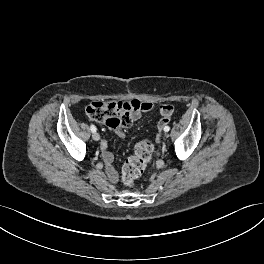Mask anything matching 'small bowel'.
I'll return each mask as SVG.
<instances>
[{"label": "small bowel", "mask_w": 264, "mask_h": 264, "mask_svg": "<svg viewBox=\"0 0 264 264\" xmlns=\"http://www.w3.org/2000/svg\"><path fill=\"white\" fill-rule=\"evenodd\" d=\"M124 105L130 108L132 121L138 120L142 113L153 110L156 106L151 102H141L139 100H131L128 102H124ZM161 119H166L168 124L173 114V106L169 104L159 105L157 106ZM116 133L118 135H122V131L119 128H116ZM103 154V160L106 165V173L111 182H116L118 180V174L115 169L111 166L113 161V155L110 151H108V143L103 141L100 146Z\"/></svg>", "instance_id": "1"}]
</instances>
